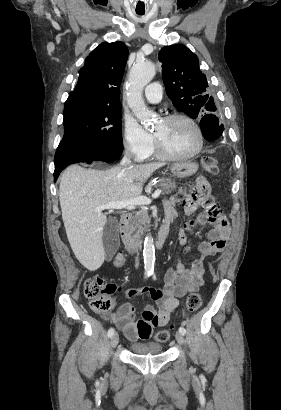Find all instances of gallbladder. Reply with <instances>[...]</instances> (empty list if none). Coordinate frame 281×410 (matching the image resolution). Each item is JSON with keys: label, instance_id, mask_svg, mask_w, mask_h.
I'll return each mask as SVG.
<instances>
[{"label": "gallbladder", "instance_id": "bac80fb5", "mask_svg": "<svg viewBox=\"0 0 281 410\" xmlns=\"http://www.w3.org/2000/svg\"><path fill=\"white\" fill-rule=\"evenodd\" d=\"M105 257L111 260L120 246L118 222L110 217L104 227L102 235Z\"/></svg>", "mask_w": 281, "mask_h": 410}]
</instances>
